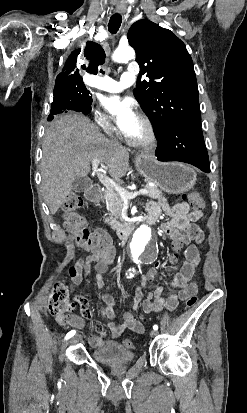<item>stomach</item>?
<instances>
[{
  "label": "stomach",
  "mask_w": 247,
  "mask_h": 413,
  "mask_svg": "<svg viewBox=\"0 0 247 413\" xmlns=\"http://www.w3.org/2000/svg\"><path fill=\"white\" fill-rule=\"evenodd\" d=\"M135 164L142 176L170 194H181L196 184L194 168L183 162H159L149 154H138Z\"/></svg>",
  "instance_id": "1"
}]
</instances>
